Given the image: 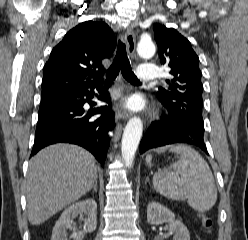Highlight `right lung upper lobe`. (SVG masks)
I'll use <instances>...</instances> for the list:
<instances>
[{"mask_svg": "<svg viewBox=\"0 0 248 240\" xmlns=\"http://www.w3.org/2000/svg\"><path fill=\"white\" fill-rule=\"evenodd\" d=\"M116 43L104 22L90 20L71 29L44 66L41 98L102 84L105 69L101 62L112 55Z\"/></svg>", "mask_w": 248, "mask_h": 240, "instance_id": "obj_1", "label": "right lung upper lobe"}]
</instances>
